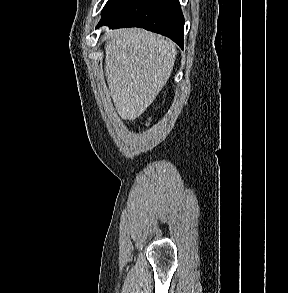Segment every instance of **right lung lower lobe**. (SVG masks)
<instances>
[{"label":"right lung lower lobe","instance_id":"right-lung-lower-lobe-1","mask_svg":"<svg viewBox=\"0 0 288 293\" xmlns=\"http://www.w3.org/2000/svg\"><path fill=\"white\" fill-rule=\"evenodd\" d=\"M141 27L169 37L183 48L184 17L179 0H129L97 27Z\"/></svg>","mask_w":288,"mask_h":293}]
</instances>
